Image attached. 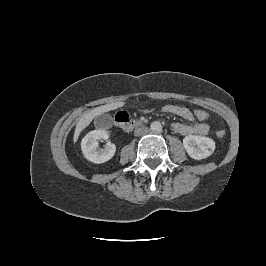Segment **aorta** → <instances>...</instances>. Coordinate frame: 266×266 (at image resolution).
Instances as JSON below:
<instances>
[{
    "label": "aorta",
    "instance_id": "aorta-1",
    "mask_svg": "<svg viewBox=\"0 0 266 266\" xmlns=\"http://www.w3.org/2000/svg\"><path fill=\"white\" fill-rule=\"evenodd\" d=\"M150 129L153 131V132H160L162 130V125L160 122L158 121H154L151 123L150 125Z\"/></svg>",
    "mask_w": 266,
    "mask_h": 266
}]
</instances>
